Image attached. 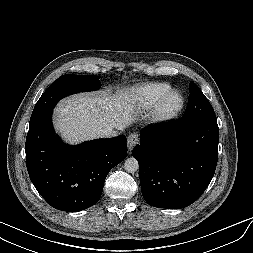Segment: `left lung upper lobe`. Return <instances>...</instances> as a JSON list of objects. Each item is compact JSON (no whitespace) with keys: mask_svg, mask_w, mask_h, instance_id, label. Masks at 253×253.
I'll return each instance as SVG.
<instances>
[{"mask_svg":"<svg viewBox=\"0 0 253 253\" xmlns=\"http://www.w3.org/2000/svg\"><path fill=\"white\" fill-rule=\"evenodd\" d=\"M189 98L188 104L185 111V115L182 118L183 123H190L195 120L216 118L213 107L209 103L208 99L194 83L189 84Z\"/></svg>","mask_w":253,"mask_h":253,"instance_id":"5c2ea615","label":"left lung upper lobe"}]
</instances>
